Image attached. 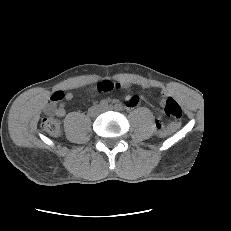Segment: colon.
<instances>
[{
	"mask_svg": "<svg viewBox=\"0 0 231 231\" xmlns=\"http://www.w3.org/2000/svg\"><path fill=\"white\" fill-rule=\"evenodd\" d=\"M96 88L102 92H109L113 89H121L118 84L108 80L99 82ZM58 99H60V95L58 93L53 94L51 97V101H56ZM164 112L172 119H179L182 116V109L179 103L171 97L166 98L164 102ZM41 126L50 136L57 137L60 135V123L54 116H47L43 118ZM156 128L160 135H165L167 133V130L163 127L161 122L156 124Z\"/></svg>",
	"mask_w": 231,
	"mask_h": 231,
	"instance_id": "obj_1",
	"label": "colon"
}]
</instances>
